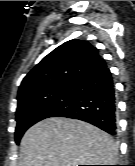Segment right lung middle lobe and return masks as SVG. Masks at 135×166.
<instances>
[{
	"instance_id": "obj_1",
	"label": "right lung middle lobe",
	"mask_w": 135,
	"mask_h": 166,
	"mask_svg": "<svg viewBox=\"0 0 135 166\" xmlns=\"http://www.w3.org/2000/svg\"><path fill=\"white\" fill-rule=\"evenodd\" d=\"M72 97V86H67L45 97L19 105L16 111V144H19L24 132L32 125L45 118L52 117L57 111L66 108Z\"/></svg>"
}]
</instances>
